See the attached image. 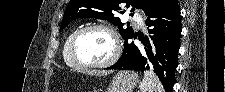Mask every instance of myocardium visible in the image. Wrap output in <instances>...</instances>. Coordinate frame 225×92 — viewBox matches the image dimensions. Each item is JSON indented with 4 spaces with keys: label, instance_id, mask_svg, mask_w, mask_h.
I'll use <instances>...</instances> for the list:
<instances>
[{
    "label": "myocardium",
    "instance_id": "f54148a6",
    "mask_svg": "<svg viewBox=\"0 0 225 92\" xmlns=\"http://www.w3.org/2000/svg\"><path fill=\"white\" fill-rule=\"evenodd\" d=\"M91 30H102L108 33L112 39L113 46H114L113 55L108 60L102 63H89V62L83 61L77 54L76 46L78 41L86 32ZM68 51L73 63L76 66H79L81 68H86V69H103V68L110 67L116 63V61L119 59L121 54V45L116 32L110 26L105 24L94 23V24L84 26L78 31H76V33L72 36L69 42Z\"/></svg>",
    "mask_w": 225,
    "mask_h": 92
}]
</instances>
